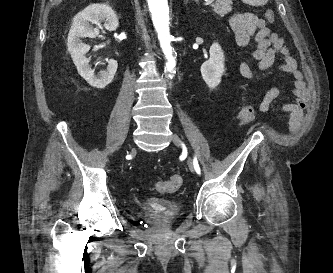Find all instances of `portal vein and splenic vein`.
<instances>
[{
    "label": "portal vein and splenic vein",
    "mask_w": 333,
    "mask_h": 273,
    "mask_svg": "<svg viewBox=\"0 0 333 273\" xmlns=\"http://www.w3.org/2000/svg\"><path fill=\"white\" fill-rule=\"evenodd\" d=\"M214 0H205V5H209L213 2Z\"/></svg>",
    "instance_id": "18ae733b"
}]
</instances>
